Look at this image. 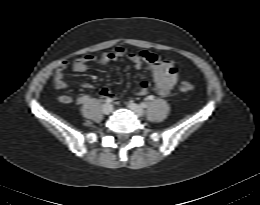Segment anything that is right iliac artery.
Instances as JSON below:
<instances>
[{"mask_svg": "<svg viewBox=\"0 0 260 205\" xmlns=\"http://www.w3.org/2000/svg\"><path fill=\"white\" fill-rule=\"evenodd\" d=\"M105 102H106V103H110L111 100H110V99H106Z\"/></svg>", "mask_w": 260, "mask_h": 205, "instance_id": "right-iliac-artery-1", "label": "right iliac artery"}]
</instances>
